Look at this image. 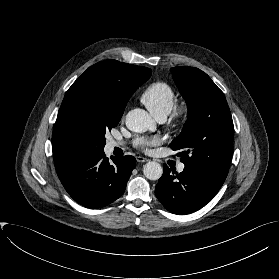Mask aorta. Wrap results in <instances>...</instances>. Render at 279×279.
I'll list each match as a JSON object with an SVG mask.
<instances>
[{
    "mask_svg": "<svg viewBox=\"0 0 279 279\" xmlns=\"http://www.w3.org/2000/svg\"><path fill=\"white\" fill-rule=\"evenodd\" d=\"M125 123L129 130L139 133L155 127L154 121L148 112L140 108L129 111L126 115ZM143 173L149 180H158L163 174V168L159 163L149 161L144 165Z\"/></svg>",
    "mask_w": 279,
    "mask_h": 279,
    "instance_id": "762f6f07",
    "label": "aorta"
}]
</instances>
